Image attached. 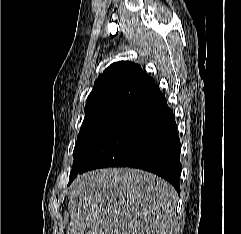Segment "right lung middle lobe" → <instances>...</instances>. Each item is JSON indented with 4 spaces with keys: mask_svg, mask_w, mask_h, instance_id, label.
Listing matches in <instances>:
<instances>
[{
    "mask_svg": "<svg viewBox=\"0 0 241 234\" xmlns=\"http://www.w3.org/2000/svg\"><path fill=\"white\" fill-rule=\"evenodd\" d=\"M136 106L131 103H108L85 108V118L73 151L69 184L81 171L90 153Z\"/></svg>",
    "mask_w": 241,
    "mask_h": 234,
    "instance_id": "dd1d6c3e",
    "label": "right lung middle lobe"
}]
</instances>
